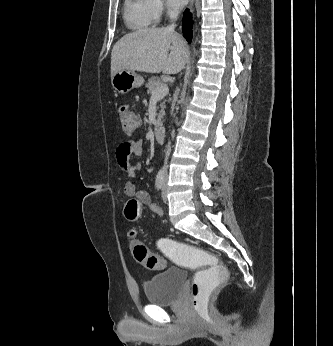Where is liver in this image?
Segmentation results:
<instances>
[{"label": "liver", "mask_w": 333, "mask_h": 346, "mask_svg": "<svg viewBox=\"0 0 333 346\" xmlns=\"http://www.w3.org/2000/svg\"><path fill=\"white\" fill-rule=\"evenodd\" d=\"M189 49L168 28H146L122 37L111 53V78L121 70L176 74L184 69Z\"/></svg>", "instance_id": "obj_1"}]
</instances>
